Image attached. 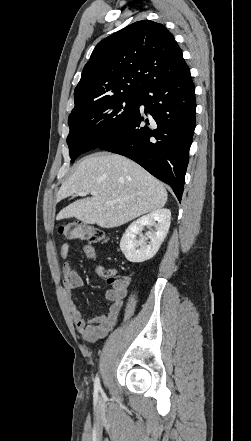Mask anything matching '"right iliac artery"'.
<instances>
[{
  "label": "right iliac artery",
  "mask_w": 251,
  "mask_h": 441,
  "mask_svg": "<svg viewBox=\"0 0 251 441\" xmlns=\"http://www.w3.org/2000/svg\"><path fill=\"white\" fill-rule=\"evenodd\" d=\"M101 386H100V379L98 377V375L95 377L94 379V390L97 393L100 390Z\"/></svg>",
  "instance_id": "1"
}]
</instances>
